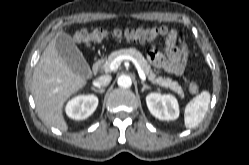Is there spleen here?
<instances>
[{
  "label": "spleen",
  "instance_id": "spleen-1",
  "mask_svg": "<svg viewBox=\"0 0 249 165\" xmlns=\"http://www.w3.org/2000/svg\"><path fill=\"white\" fill-rule=\"evenodd\" d=\"M210 103V93L202 91L185 107L184 122L187 128H194L204 118Z\"/></svg>",
  "mask_w": 249,
  "mask_h": 165
}]
</instances>
